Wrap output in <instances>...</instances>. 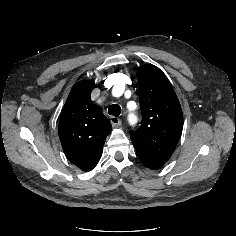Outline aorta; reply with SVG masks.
<instances>
[{
  "instance_id": "1",
  "label": "aorta",
  "mask_w": 236,
  "mask_h": 236,
  "mask_svg": "<svg viewBox=\"0 0 236 236\" xmlns=\"http://www.w3.org/2000/svg\"><path fill=\"white\" fill-rule=\"evenodd\" d=\"M128 122L130 125H134L137 122V116L134 113L128 115Z\"/></svg>"
}]
</instances>
